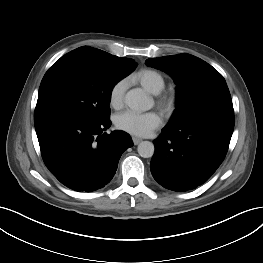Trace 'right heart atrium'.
I'll return each instance as SVG.
<instances>
[{"label":"right heart atrium","mask_w":263,"mask_h":263,"mask_svg":"<svg viewBox=\"0 0 263 263\" xmlns=\"http://www.w3.org/2000/svg\"><path fill=\"white\" fill-rule=\"evenodd\" d=\"M126 84L123 80L115 82L109 90V104L114 109L121 108L123 104Z\"/></svg>","instance_id":"d8ad5b80"}]
</instances>
